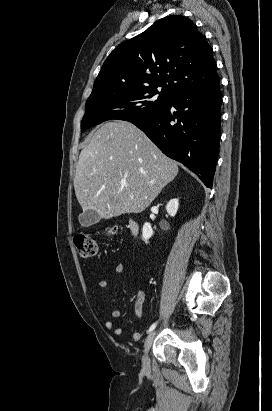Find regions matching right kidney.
Instances as JSON below:
<instances>
[{"label": "right kidney", "instance_id": "right-kidney-1", "mask_svg": "<svg viewBox=\"0 0 272 411\" xmlns=\"http://www.w3.org/2000/svg\"><path fill=\"white\" fill-rule=\"evenodd\" d=\"M178 207H179V200L176 198L171 199L166 205V211L171 217H174L177 213ZM152 235H153V230H152L151 224L146 222L143 225V229H142V240L145 243H148V240L151 238Z\"/></svg>", "mask_w": 272, "mask_h": 411}]
</instances>
